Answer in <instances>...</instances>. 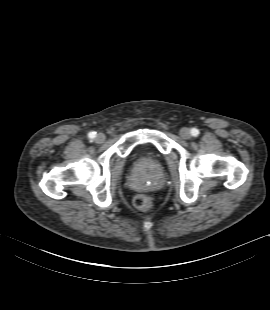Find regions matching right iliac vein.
<instances>
[{"label":"right iliac vein","instance_id":"obj_1","mask_svg":"<svg viewBox=\"0 0 270 310\" xmlns=\"http://www.w3.org/2000/svg\"><path fill=\"white\" fill-rule=\"evenodd\" d=\"M95 141L97 143H103L105 141V135L102 133L97 134Z\"/></svg>","mask_w":270,"mask_h":310}]
</instances>
